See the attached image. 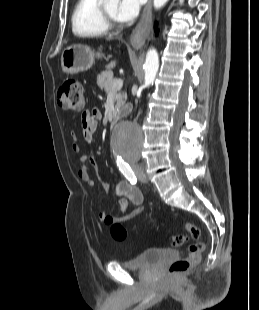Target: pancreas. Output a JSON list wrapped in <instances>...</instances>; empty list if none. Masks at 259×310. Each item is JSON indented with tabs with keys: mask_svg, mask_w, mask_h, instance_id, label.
I'll return each instance as SVG.
<instances>
[{
	"mask_svg": "<svg viewBox=\"0 0 259 310\" xmlns=\"http://www.w3.org/2000/svg\"><path fill=\"white\" fill-rule=\"evenodd\" d=\"M114 80L115 79L113 78V73L111 71L103 72L97 77V85L99 86V88L105 91L106 94L112 93L114 95L116 106L113 112V119L115 120L116 118L119 117V113L127 99V94L120 93L119 90L111 91V87H112Z\"/></svg>",
	"mask_w": 259,
	"mask_h": 310,
	"instance_id": "cf45deb5",
	"label": "pancreas"
}]
</instances>
